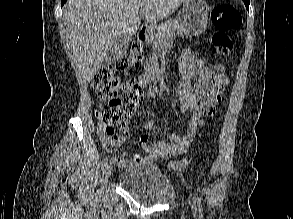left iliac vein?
Wrapping results in <instances>:
<instances>
[{"label":"left iliac vein","instance_id":"left-iliac-vein-1","mask_svg":"<svg viewBox=\"0 0 293 219\" xmlns=\"http://www.w3.org/2000/svg\"><path fill=\"white\" fill-rule=\"evenodd\" d=\"M191 211H192L193 216L195 217L196 216V205L192 201H191Z\"/></svg>","mask_w":293,"mask_h":219}]
</instances>
